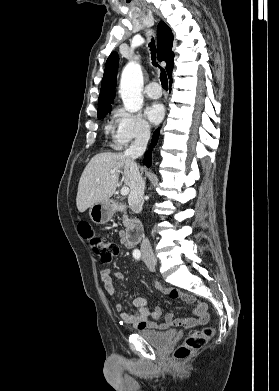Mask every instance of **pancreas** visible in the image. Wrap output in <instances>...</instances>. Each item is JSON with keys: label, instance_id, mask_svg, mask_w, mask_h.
<instances>
[{"label": "pancreas", "instance_id": "cf45deb5", "mask_svg": "<svg viewBox=\"0 0 279 391\" xmlns=\"http://www.w3.org/2000/svg\"><path fill=\"white\" fill-rule=\"evenodd\" d=\"M122 220H123L124 226H128L129 225V220L127 219V217L125 215H123Z\"/></svg>", "mask_w": 279, "mask_h": 391}]
</instances>
